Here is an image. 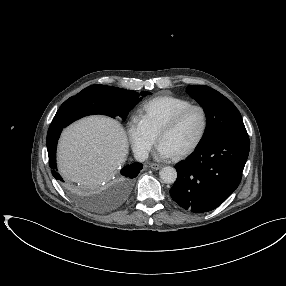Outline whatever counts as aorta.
Returning <instances> with one entry per match:
<instances>
[{"instance_id":"762f6f07","label":"aorta","mask_w":286,"mask_h":286,"mask_svg":"<svg viewBox=\"0 0 286 286\" xmlns=\"http://www.w3.org/2000/svg\"><path fill=\"white\" fill-rule=\"evenodd\" d=\"M160 178L163 182L171 184L176 181V169L170 166L163 167L159 172Z\"/></svg>"}]
</instances>
